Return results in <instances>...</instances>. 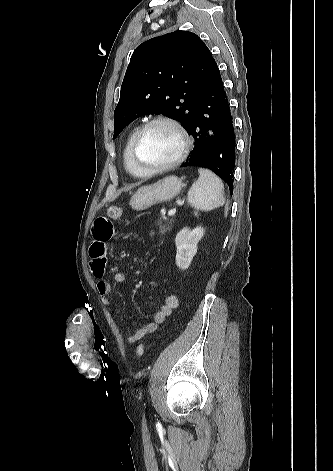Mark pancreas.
I'll use <instances>...</instances> for the list:
<instances>
[{
    "label": "pancreas",
    "instance_id": "obj_1",
    "mask_svg": "<svg viewBox=\"0 0 333 471\" xmlns=\"http://www.w3.org/2000/svg\"><path fill=\"white\" fill-rule=\"evenodd\" d=\"M172 225H173V220L166 219L164 216L160 217V219L157 222V226L161 234H164L165 232L170 230L172 228Z\"/></svg>",
    "mask_w": 333,
    "mask_h": 471
}]
</instances>
